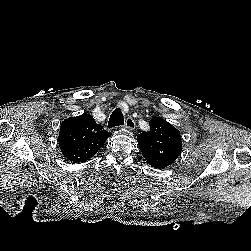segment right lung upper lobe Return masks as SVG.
Masks as SVG:
<instances>
[{
	"instance_id": "1",
	"label": "right lung upper lobe",
	"mask_w": 251,
	"mask_h": 251,
	"mask_svg": "<svg viewBox=\"0 0 251 251\" xmlns=\"http://www.w3.org/2000/svg\"><path fill=\"white\" fill-rule=\"evenodd\" d=\"M110 135L91 115L84 113L62 122L58 141L68 161L82 163L95 155Z\"/></svg>"
}]
</instances>
